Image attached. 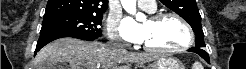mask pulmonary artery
<instances>
[{"mask_svg": "<svg viewBox=\"0 0 246 69\" xmlns=\"http://www.w3.org/2000/svg\"><path fill=\"white\" fill-rule=\"evenodd\" d=\"M138 3L142 9L147 10L149 12H153L156 9V3L154 0H141L138 1Z\"/></svg>", "mask_w": 246, "mask_h": 69, "instance_id": "obj_1", "label": "pulmonary artery"}]
</instances>
